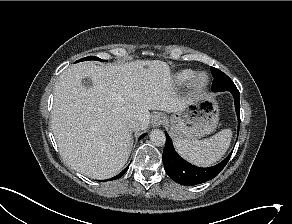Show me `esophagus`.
I'll list each match as a JSON object with an SVG mask.
<instances>
[{"instance_id": "obj_1", "label": "esophagus", "mask_w": 292, "mask_h": 224, "mask_svg": "<svg viewBox=\"0 0 292 224\" xmlns=\"http://www.w3.org/2000/svg\"><path fill=\"white\" fill-rule=\"evenodd\" d=\"M165 120V116L162 113H154L151 116V123L153 127H159Z\"/></svg>"}]
</instances>
